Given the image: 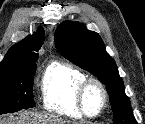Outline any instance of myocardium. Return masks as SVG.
Returning a JSON list of instances; mask_svg holds the SVG:
<instances>
[{
	"label": "myocardium",
	"instance_id": "1",
	"mask_svg": "<svg viewBox=\"0 0 145 124\" xmlns=\"http://www.w3.org/2000/svg\"><path fill=\"white\" fill-rule=\"evenodd\" d=\"M91 87H96L102 94V103L100 109L96 113H89L86 108V95ZM109 100L108 92L105 85L97 78H86L78 87L77 90V104L81 114L87 118L99 117L107 107Z\"/></svg>",
	"mask_w": 145,
	"mask_h": 124
}]
</instances>
